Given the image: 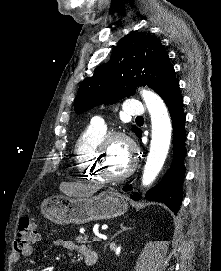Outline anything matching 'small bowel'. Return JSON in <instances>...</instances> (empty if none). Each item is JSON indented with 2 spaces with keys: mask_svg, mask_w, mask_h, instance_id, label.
Returning <instances> with one entry per match:
<instances>
[{
  "mask_svg": "<svg viewBox=\"0 0 221 271\" xmlns=\"http://www.w3.org/2000/svg\"><path fill=\"white\" fill-rule=\"evenodd\" d=\"M53 244L57 248H63L70 252H76L80 255L85 257L94 256L97 258V253L91 250L88 246L82 243H77L73 240L63 239V238H56L53 241ZM33 253V248L30 246L24 250L18 251L15 250L11 254V261L16 263L21 256H30Z\"/></svg>",
  "mask_w": 221,
  "mask_h": 271,
  "instance_id": "c3829d8e",
  "label": "small bowel"
}]
</instances>
